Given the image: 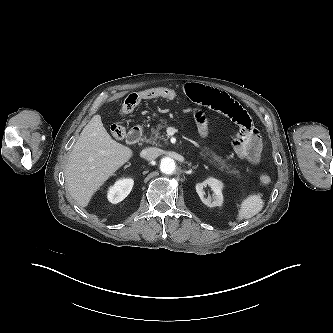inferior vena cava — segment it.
Masks as SVG:
<instances>
[{"label":"inferior vena cava","mask_w":333,"mask_h":333,"mask_svg":"<svg viewBox=\"0 0 333 333\" xmlns=\"http://www.w3.org/2000/svg\"><path fill=\"white\" fill-rule=\"evenodd\" d=\"M161 150L155 147H150L143 149L140 153L141 157L147 159V160H154L158 156H160Z\"/></svg>","instance_id":"obj_1"}]
</instances>
